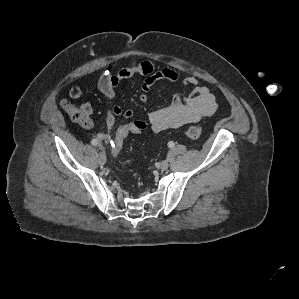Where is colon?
Listing matches in <instances>:
<instances>
[{
    "label": "colon",
    "mask_w": 299,
    "mask_h": 299,
    "mask_svg": "<svg viewBox=\"0 0 299 299\" xmlns=\"http://www.w3.org/2000/svg\"><path fill=\"white\" fill-rule=\"evenodd\" d=\"M61 106L73 121L84 127L91 125L92 120L90 114L83 105L77 106L68 100H63ZM143 130L144 126L134 120H129L118 125L114 129L111 137V153L117 155L130 136L138 135L143 132ZM202 134L203 129L199 126H190L185 131V135L193 140L200 138Z\"/></svg>",
    "instance_id": "5ec220e1"
}]
</instances>
